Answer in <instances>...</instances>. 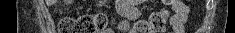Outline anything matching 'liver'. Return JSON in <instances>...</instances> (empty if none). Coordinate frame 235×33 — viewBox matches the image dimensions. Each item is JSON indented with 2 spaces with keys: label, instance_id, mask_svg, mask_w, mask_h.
<instances>
[{
  "label": "liver",
  "instance_id": "obj_1",
  "mask_svg": "<svg viewBox=\"0 0 235 33\" xmlns=\"http://www.w3.org/2000/svg\"><path fill=\"white\" fill-rule=\"evenodd\" d=\"M56 2V0H46L47 5H52Z\"/></svg>",
  "mask_w": 235,
  "mask_h": 33
}]
</instances>
